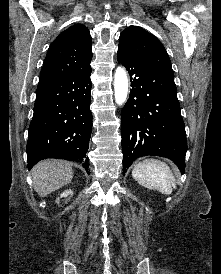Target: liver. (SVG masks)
I'll use <instances>...</instances> for the list:
<instances>
[{
	"label": "liver",
	"mask_w": 221,
	"mask_h": 274,
	"mask_svg": "<svg viewBox=\"0 0 221 274\" xmlns=\"http://www.w3.org/2000/svg\"><path fill=\"white\" fill-rule=\"evenodd\" d=\"M73 179L71 164L62 160H44L32 169L34 190L40 197L67 185Z\"/></svg>",
	"instance_id": "6515ba94"
}]
</instances>
